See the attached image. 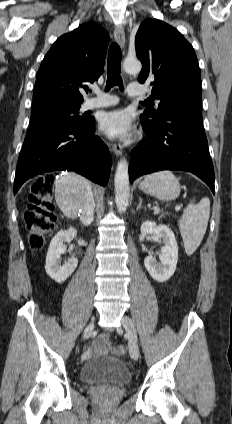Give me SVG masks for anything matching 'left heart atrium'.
Listing matches in <instances>:
<instances>
[{
  "mask_svg": "<svg viewBox=\"0 0 232 424\" xmlns=\"http://www.w3.org/2000/svg\"><path fill=\"white\" fill-rule=\"evenodd\" d=\"M103 133L112 139H128L133 133L131 115L125 110L105 113L100 122Z\"/></svg>",
  "mask_w": 232,
  "mask_h": 424,
  "instance_id": "39dd6f15",
  "label": "left heart atrium"
}]
</instances>
